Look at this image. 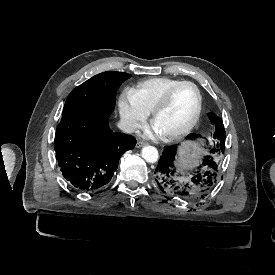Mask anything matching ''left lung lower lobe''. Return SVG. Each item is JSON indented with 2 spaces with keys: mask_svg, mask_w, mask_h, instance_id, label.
Returning a JSON list of instances; mask_svg holds the SVG:
<instances>
[{
  "mask_svg": "<svg viewBox=\"0 0 275 275\" xmlns=\"http://www.w3.org/2000/svg\"><path fill=\"white\" fill-rule=\"evenodd\" d=\"M176 146H165L154 171L158 189L170 198L203 197L217 182V168L211 165L197 167L185 174L176 172Z\"/></svg>",
  "mask_w": 275,
  "mask_h": 275,
  "instance_id": "1",
  "label": "left lung lower lobe"
}]
</instances>
